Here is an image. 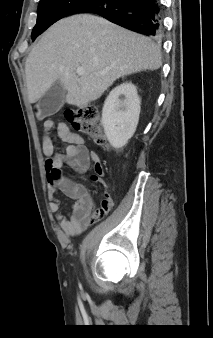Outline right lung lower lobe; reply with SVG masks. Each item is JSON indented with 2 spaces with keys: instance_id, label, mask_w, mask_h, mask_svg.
Here are the masks:
<instances>
[{
  "instance_id": "1",
  "label": "right lung lower lobe",
  "mask_w": 213,
  "mask_h": 338,
  "mask_svg": "<svg viewBox=\"0 0 213 338\" xmlns=\"http://www.w3.org/2000/svg\"><path fill=\"white\" fill-rule=\"evenodd\" d=\"M74 13H94L150 37L162 33L160 0H92Z\"/></svg>"
}]
</instances>
